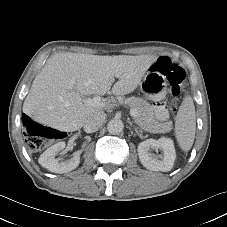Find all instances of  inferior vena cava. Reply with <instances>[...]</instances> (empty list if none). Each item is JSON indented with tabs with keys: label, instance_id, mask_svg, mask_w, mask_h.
<instances>
[{
	"label": "inferior vena cava",
	"instance_id": "1",
	"mask_svg": "<svg viewBox=\"0 0 227 227\" xmlns=\"http://www.w3.org/2000/svg\"><path fill=\"white\" fill-rule=\"evenodd\" d=\"M106 114L104 112H97L89 116L84 123V131L93 133L97 131L104 123Z\"/></svg>",
	"mask_w": 227,
	"mask_h": 227
}]
</instances>
